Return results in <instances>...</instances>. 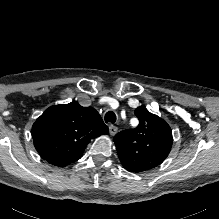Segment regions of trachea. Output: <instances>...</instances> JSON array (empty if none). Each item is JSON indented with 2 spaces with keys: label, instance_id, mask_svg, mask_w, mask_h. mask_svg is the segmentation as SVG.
Wrapping results in <instances>:
<instances>
[{
  "label": "trachea",
  "instance_id": "obj_1",
  "mask_svg": "<svg viewBox=\"0 0 219 219\" xmlns=\"http://www.w3.org/2000/svg\"><path fill=\"white\" fill-rule=\"evenodd\" d=\"M105 122L106 123H112V124H114L115 122H116V115H115V113L114 112H112V111H108L106 114H105Z\"/></svg>",
  "mask_w": 219,
  "mask_h": 219
}]
</instances>
